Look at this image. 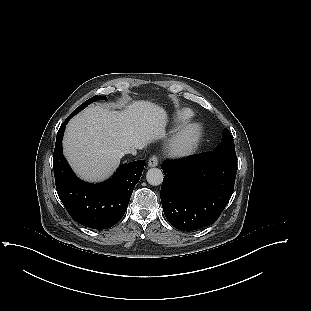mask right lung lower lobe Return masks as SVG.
<instances>
[{
    "label": "right lung lower lobe",
    "mask_w": 311,
    "mask_h": 311,
    "mask_svg": "<svg viewBox=\"0 0 311 311\" xmlns=\"http://www.w3.org/2000/svg\"><path fill=\"white\" fill-rule=\"evenodd\" d=\"M71 114L61 125L53 154V168L58 195L79 224L93 229H106L123 217L145 161L123 164L113 177L100 184L79 180L70 169L62 153V137Z\"/></svg>",
    "instance_id": "right-lung-lower-lobe-1"
}]
</instances>
